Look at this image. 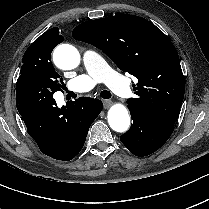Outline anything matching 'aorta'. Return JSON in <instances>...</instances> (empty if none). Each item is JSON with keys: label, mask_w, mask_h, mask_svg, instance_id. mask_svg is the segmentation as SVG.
Masks as SVG:
<instances>
[{"label": "aorta", "mask_w": 209, "mask_h": 209, "mask_svg": "<svg viewBox=\"0 0 209 209\" xmlns=\"http://www.w3.org/2000/svg\"><path fill=\"white\" fill-rule=\"evenodd\" d=\"M54 63L63 70L76 68L80 63L78 50L69 44L59 45L53 53ZM109 126L116 132H125L130 126V116L127 108L122 104H114L108 111Z\"/></svg>", "instance_id": "1"}]
</instances>
